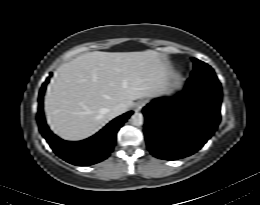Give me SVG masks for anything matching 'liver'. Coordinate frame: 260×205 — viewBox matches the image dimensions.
Instances as JSON below:
<instances>
[{"instance_id": "6515ba94", "label": "liver", "mask_w": 260, "mask_h": 205, "mask_svg": "<svg viewBox=\"0 0 260 205\" xmlns=\"http://www.w3.org/2000/svg\"><path fill=\"white\" fill-rule=\"evenodd\" d=\"M169 75L157 51L100 52L61 65L46 94V116L52 130L66 140H82L114 118L117 104L129 109L134 100L155 97Z\"/></svg>"}]
</instances>
